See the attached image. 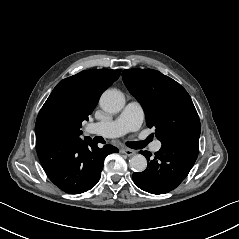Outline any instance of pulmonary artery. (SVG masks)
I'll list each match as a JSON object with an SVG mask.
<instances>
[{"label":"pulmonary artery","mask_w":239,"mask_h":239,"mask_svg":"<svg viewBox=\"0 0 239 239\" xmlns=\"http://www.w3.org/2000/svg\"><path fill=\"white\" fill-rule=\"evenodd\" d=\"M143 120V109L141 104L136 101H130L121 114L116 118L110 121H97L88 124L87 132L94 133L95 129L99 127H105L115 132L116 136H122L130 131L137 130ZM161 148V142H154L152 149L157 152Z\"/></svg>","instance_id":"1"}]
</instances>
